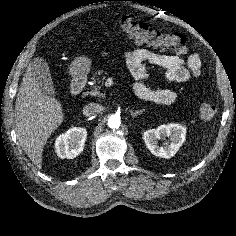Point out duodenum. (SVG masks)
<instances>
[{"label":"duodenum","mask_w":236,"mask_h":236,"mask_svg":"<svg viewBox=\"0 0 236 236\" xmlns=\"http://www.w3.org/2000/svg\"><path fill=\"white\" fill-rule=\"evenodd\" d=\"M85 87V81L83 78H76L72 81L70 86V93L72 96L80 95Z\"/></svg>","instance_id":"duodenum-1"}]
</instances>
